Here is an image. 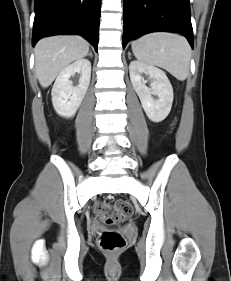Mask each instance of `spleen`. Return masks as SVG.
Instances as JSON below:
<instances>
[{
  "instance_id": "spleen-1",
  "label": "spleen",
  "mask_w": 231,
  "mask_h": 281,
  "mask_svg": "<svg viewBox=\"0 0 231 281\" xmlns=\"http://www.w3.org/2000/svg\"><path fill=\"white\" fill-rule=\"evenodd\" d=\"M131 47L139 61L161 67L180 81L187 78L191 48L185 37L166 32L150 33L133 41Z\"/></svg>"
}]
</instances>
